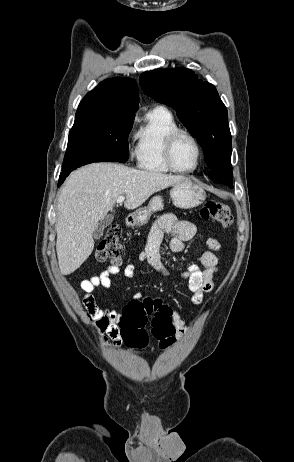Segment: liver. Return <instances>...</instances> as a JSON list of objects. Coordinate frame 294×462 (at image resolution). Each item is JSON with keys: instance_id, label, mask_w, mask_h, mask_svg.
I'll list each match as a JSON object with an SVG mask.
<instances>
[{"instance_id": "1", "label": "liver", "mask_w": 294, "mask_h": 462, "mask_svg": "<svg viewBox=\"0 0 294 462\" xmlns=\"http://www.w3.org/2000/svg\"><path fill=\"white\" fill-rule=\"evenodd\" d=\"M184 179L116 163H92L74 171L58 195L56 251L61 273L69 275L87 260L98 221L113 211L119 196L125 195L124 207L133 210Z\"/></svg>"}]
</instances>
